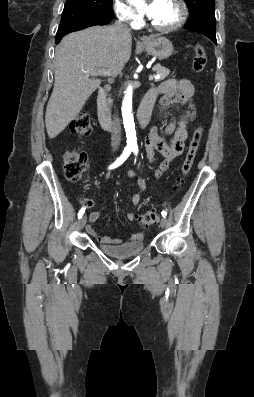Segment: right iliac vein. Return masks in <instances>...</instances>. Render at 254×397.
I'll use <instances>...</instances> for the list:
<instances>
[{
	"label": "right iliac vein",
	"instance_id": "1",
	"mask_svg": "<svg viewBox=\"0 0 254 397\" xmlns=\"http://www.w3.org/2000/svg\"><path fill=\"white\" fill-rule=\"evenodd\" d=\"M86 220H87V218L85 215L80 218V220H79V228L80 229H82L85 226Z\"/></svg>",
	"mask_w": 254,
	"mask_h": 397
}]
</instances>
